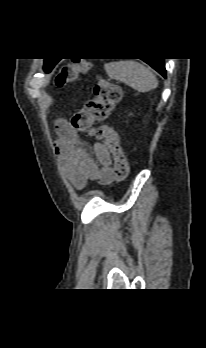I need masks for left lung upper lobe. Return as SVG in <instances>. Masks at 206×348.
Here are the masks:
<instances>
[{
    "mask_svg": "<svg viewBox=\"0 0 206 348\" xmlns=\"http://www.w3.org/2000/svg\"><path fill=\"white\" fill-rule=\"evenodd\" d=\"M57 62L54 61V60H48V59H45V62H44V71L45 72H50L52 70V68L55 66Z\"/></svg>",
    "mask_w": 206,
    "mask_h": 348,
    "instance_id": "left-lung-upper-lobe-1",
    "label": "left lung upper lobe"
}]
</instances>
